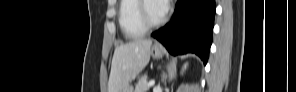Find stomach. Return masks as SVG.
Instances as JSON below:
<instances>
[{"label":"stomach","instance_id":"1","mask_svg":"<svg viewBox=\"0 0 296 92\" xmlns=\"http://www.w3.org/2000/svg\"><path fill=\"white\" fill-rule=\"evenodd\" d=\"M151 54L154 58L158 59L163 56V51L161 49H157L156 47H153L151 50ZM121 92H134L133 86L128 84L126 87L122 89Z\"/></svg>","mask_w":296,"mask_h":92}]
</instances>
